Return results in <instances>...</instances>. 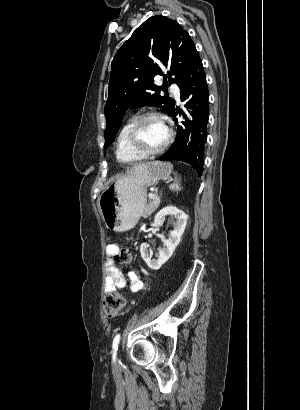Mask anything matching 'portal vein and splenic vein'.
<instances>
[{"label": "portal vein and splenic vein", "instance_id": "portal-vein-and-splenic-vein-1", "mask_svg": "<svg viewBox=\"0 0 300 410\" xmlns=\"http://www.w3.org/2000/svg\"><path fill=\"white\" fill-rule=\"evenodd\" d=\"M148 197H149L150 199H155V198H157L156 195L153 194V193H149Z\"/></svg>", "mask_w": 300, "mask_h": 410}]
</instances>
